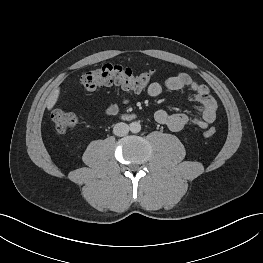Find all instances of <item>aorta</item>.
I'll use <instances>...</instances> for the list:
<instances>
[{
	"instance_id": "aorta-1",
	"label": "aorta",
	"mask_w": 263,
	"mask_h": 263,
	"mask_svg": "<svg viewBox=\"0 0 263 263\" xmlns=\"http://www.w3.org/2000/svg\"><path fill=\"white\" fill-rule=\"evenodd\" d=\"M130 131L132 132V133H138V132H140V130H141V125H140V123L139 122H132V123H130Z\"/></svg>"
}]
</instances>
